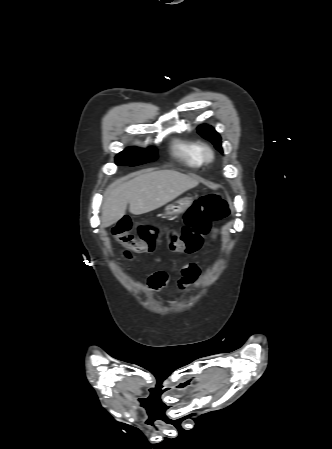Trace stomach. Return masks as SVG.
I'll return each instance as SVG.
<instances>
[{"mask_svg": "<svg viewBox=\"0 0 332 449\" xmlns=\"http://www.w3.org/2000/svg\"><path fill=\"white\" fill-rule=\"evenodd\" d=\"M193 199L185 197L174 203L168 204L165 207V214L168 216H173L185 212L192 204Z\"/></svg>", "mask_w": 332, "mask_h": 449, "instance_id": "0dacf381", "label": "stomach"}]
</instances>
